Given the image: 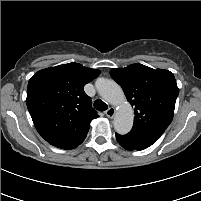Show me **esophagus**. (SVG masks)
Masks as SVG:
<instances>
[{
    "mask_svg": "<svg viewBox=\"0 0 201 201\" xmlns=\"http://www.w3.org/2000/svg\"><path fill=\"white\" fill-rule=\"evenodd\" d=\"M115 112H116L115 108H114V107H110V108L105 112V114H106V116H107L108 118H113L114 115H115Z\"/></svg>",
    "mask_w": 201,
    "mask_h": 201,
    "instance_id": "esophagus-1",
    "label": "esophagus"
}]
</instances>
